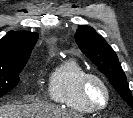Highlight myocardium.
Returning <instances> with one entry per match:
<instances>
[{"label":"myocardium","mask_w":133,"mask_h":118,"mask_svg":"<svg viewBox=\"0 0 133 118\" xmlns=\"http://www.w3.org/2000/svg\"><path fill=\"white\" fill-rule=\"evenodd\" d=\"M93 83H97L98 85H100L105 92V101L102 105H97L96 103L93 102L91 98V86ZM81 93L84 102L94 112L104 110L105 108L108 107L111 101V90L109 85L102 77L94 73H88L83 78L81 83Z\"/></svg>","instance_id":"1"}]
</instances>
